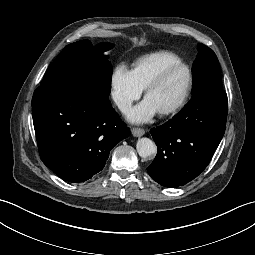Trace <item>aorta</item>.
I'll use <instances>...</instances> for the list:
<instances>
[{"instance_id": "762f6f07", "label": "aorta", "mask_w": 255, "mask_h": 255, "mask_svg": "<svg viewBox=\"0 0 255 255\" xmlns=\"http://www.w3.org/2000/svg\"><path fill=\"white\" fill-rule=\"evenodd\" d=\"M136 149L139 156L142 158L153 157L157 152L155 143L146 137L138 139Z\"/></svg>"}]
</instances>
